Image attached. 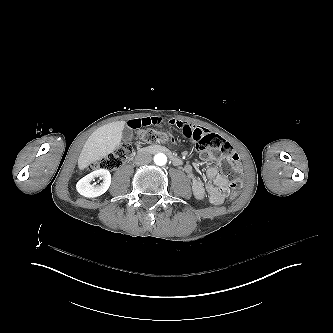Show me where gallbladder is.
<instances>
[{
	"instance_id": "obj_1",
	"label": "gallbladder",
	"mask_w": 333,
	"mask_h": 333,
	"mask_svg": "<svg viewBox=\"0 0 333 333\" xmlns=\"http://www.w3.org/2000/svg\"><path fill=\"white\" fill-rule=\"evenodd\" d=\"M134 131L132 128L125 126L122 131V139L124 142H130L133 140Z\"/></svg>"
}]
</instances>
